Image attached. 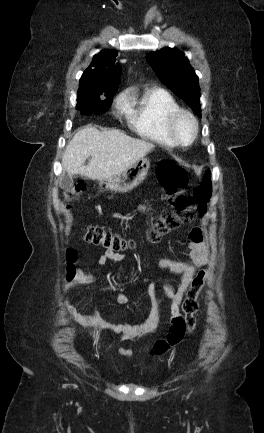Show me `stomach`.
I'll use <instances>...</instances> for the list:
<instances>
[{"mask_svg":"<svg viewBox=\"0 0 264 433\" xmlns=\"http://www.w3.org/2000/svg\"><path fill=\"white\" fill-rule=\"evenodd\" d=\"M150 168V160L141 158L121 175L101 180V191L128 192L137 187L146 177Z\"/></svg>","mask_w":264,"mask_h":433,"instance_id":"1","label":"stomach"}]
</instances>
